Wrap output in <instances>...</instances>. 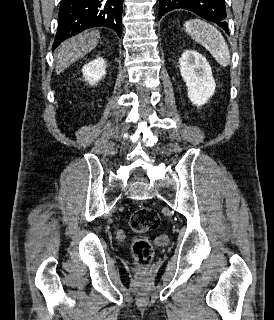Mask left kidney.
<instances>
[{"mask_svg":"<svg viewBox=\"0 0 274 320\" xmlns=\"http://www.w3.org/2000/svg\"><path fill=\"white\" fill-rule=\"evenodd\" d=\"M179 64L190 102L195 106L206 104L209 98L213 96L216 88L212 70L206 58L196 50H185Z\"/></svg>","mask_w":274,"mask_h":320,"instance_id":"5707ae66","label":"left kidney"}]
</instances>
